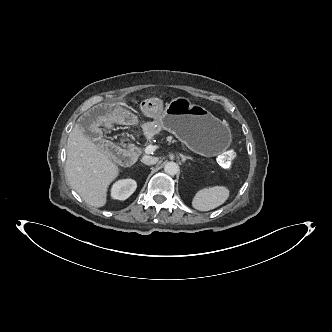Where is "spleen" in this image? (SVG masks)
<instances>
[{
    "label": "spleen",
    "instance_id": "obj_1",
    "mask_svg": "<svg viewBox=\"0 0 332 332\" xmlns=\"http://www.w3.org/2000/svg\"><path fill=\"white\" fill-rule=\"evenodd\" d=\"M230 191L224 186L206 187L197 191L192 206L198 211H210L223 205L229 198Z\"/></svg>",
    "mask_w": 332,
    "mask_h": 332
}]
</instances>
